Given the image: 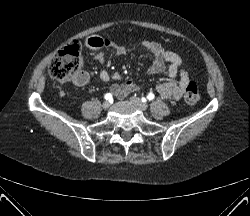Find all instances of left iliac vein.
I'll return each mask as SVG.
<instances>
[{
  "label": "left iliac vein",
  "instance_id": "4c4485c4",
  "mask_svg": "<svg viewBox=\"0 0 250 216\" xmlns=\"http://www.w3.org/2000/svg\"><path fill=\"white\" fill-rule=\"evenodd\" d=\"M130 101L136 105L140 110L144 111L147 109V104L144 103L143 101H141L139 98L137 97H131Z\"/></svg>",
  "mask_w": 250,
  "mask_h": 216
}]
</instances>
